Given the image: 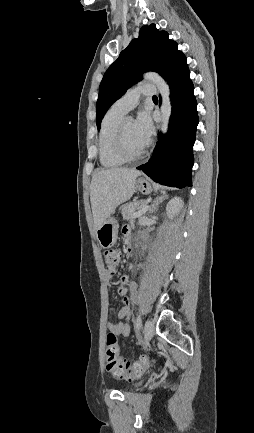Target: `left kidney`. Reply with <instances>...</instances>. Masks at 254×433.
Instances as JSON below:
<instances>
[{"label":"left kidney","mask_w":254,"mask_h":433,"mask_svg":"<svg viewBox=\"0 0 254 433\" xmlns=\"http://www.w3.org/2000/svg\"><path fill=\"white\" fill-rule=\"evenodd\" d=\"M182 207H183V201L181 198L179 197L172 198L166 206L167 215L170 218H174V216L179 213Z\"/></svg>","instance_id":"1"}]
</instances>
